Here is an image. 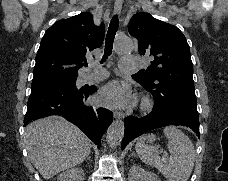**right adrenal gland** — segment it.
<instances>
[{
    "label": "right adrenal gland",
    "mask_w": 228,
    "mask_h": 181,
    "mask_svg": "<svg viewBox=\"0 0 228 181\" xmlns=\"http://www.w3.org/2000/svg\"><path fill=\"white\" fill-rule=\"evenodd\" d=\"M87 159H88V161H90V163H91V157H87Z\"/></svg>",
    "instance_id": "2a0ac1e0"
}]
</instances>
